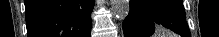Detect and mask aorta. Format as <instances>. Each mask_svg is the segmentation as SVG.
Instances as JSON below:
<instances>
[{
	"instance_id": "762f6f07",
	"label": "aorta",
	"mask_w": 219,
	"mask_h": 37,
	"mask_svg": "<svg viewBox=\"0 0 219 37\" xmlns=\"http://www.w3.org/2000/svg\"><path fill=\"white\" fill-rule=\"evenodd\" d=\"M111 7L115 17L118 20H123L128 16L130 0H111Z\"/></svg>"
}]
</instances>
